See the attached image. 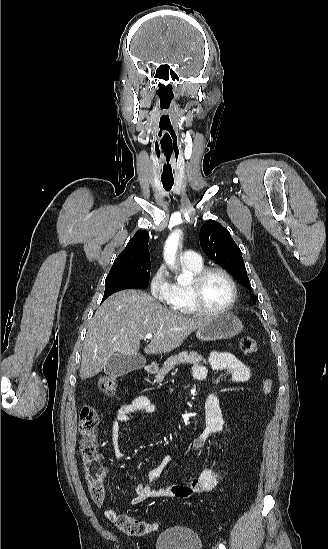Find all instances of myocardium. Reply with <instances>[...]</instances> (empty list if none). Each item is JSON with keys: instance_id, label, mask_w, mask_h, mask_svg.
I'll return each instance as SVG.
<instances>
[{"instance_id": "myocardium-1", "label": "myocardium", "mask_w": 328, "mask_h": 549, "mask_svg": "<svg viewBox=\"0 0 328 549\" xmlns=\"http://www.w3.org/2000/svg\"><path fill=\"white\" fill-rule=\"evenodd\" d=\"M220 272L222 273L230 282L232 287V296L230 301L219 309H208L204 308L201 305L205 304L200 295V288L205 277L211 272ZM188 295L191 300L189 308L197 316H222L229 313L235 306L238 299V284L231 274V272L223 265L212 263L205 264L199 271L190 276L187 283Z\"/></svg>"}]
</instances>
